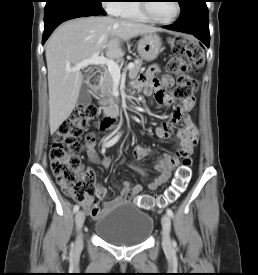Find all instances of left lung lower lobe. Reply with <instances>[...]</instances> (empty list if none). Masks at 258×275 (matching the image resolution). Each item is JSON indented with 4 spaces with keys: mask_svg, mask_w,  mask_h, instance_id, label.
<instances>
[{
    "mask_svg": "<svg viewBox=\"0 0 258 275\" xmlns=\"http://www.w3.org/2000/svg\"><path fill=\"white\" fill-rule=\"evenodd\" d=\"M181 9L179 22L164 28L193 34L209 47L210 34L206 0H188Z\"/></svg>",
    "mask_w": 258,
    "mask_h": 275,
    "instance_id": "0a47b994",
    "label": "left lung lower lobe"
}]
</instances>
